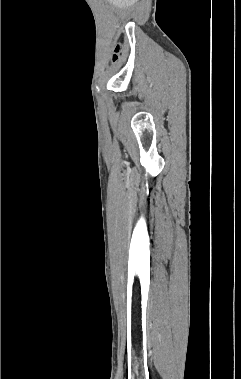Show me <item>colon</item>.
Listing matches in <instances>:
<instances>
[{
    "mask_svg": "<svg viewBox=\"0 0 241 379\" xmlns=\"http://www.w3.org/2000/svg\"><path fill=\"white\" fill-rule=\"evenodd\" d=\"M120 59H121L120 47H119V45H117L115 48L114 54H113V62L118 63L120 61Z\"/></svg>",
    "mask_w": 241,
    "mask_h": 379,
    "instance_id": "5ec220e1",
    "label": "colon"
}]
</instances>
